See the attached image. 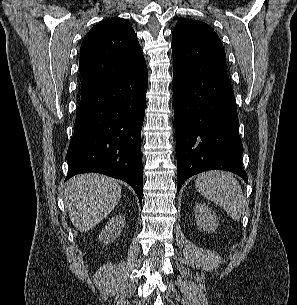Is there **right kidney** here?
<instances>
[{
  "label": "right kidney",
  "mask_w": 297,
  "mask_h": 305,
  "mask_svg": "<svg viewBox=\"0 0 297 305\" xmlns=\"http://www.w3.org/2000/svg\"><path fill=\"white\" fill-rule=\"evenodd\" d=\"M125 225V217L122 214H117L109 220L99 234V241L109 243L115 240Z\"/></svg>",
  "instance_id": "1"
}]
</instances>
